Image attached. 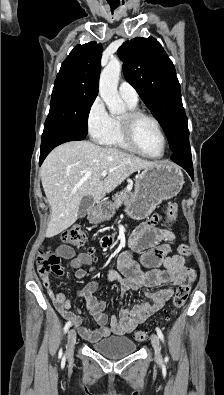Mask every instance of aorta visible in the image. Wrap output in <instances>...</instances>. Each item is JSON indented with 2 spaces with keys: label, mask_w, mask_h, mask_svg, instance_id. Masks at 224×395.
<instances>
[{
  "label": "aorta",
  "mask_w": 224,
  "mask_h": 395,
  "mask_svg": "<svg viewBox=\"0 0 224 395\" xmlns=\"http://www.w3.org/2000/svg\"><path fill=\"white\" fill-rule=\"evenodd\" d=\"M121 68V62L117 59H112L100 75L99 94L106 103L111 115H119L125 109L117 90Z\"/></svg>",
  "instance_id": "1"
}]
</instances>
